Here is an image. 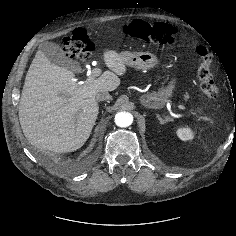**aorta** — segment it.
I'll return each instance as SVG.
<instances>
[{
    "label": "aorta",
    "mask_w": 236,
    "mask_h": 236,
    "mask_svg": "<svg viewBox=\"0 0 236 236\" xmlns=\"http://www.w3.org/2000/svg\"><path fill=\"white\" fill-rule=\"evenodd\" d=\"M133 122V116L129 112H118L115 115V124L119 127H128Z\"/></svg>",
    "instance_id": "1"
}]
</instances>
